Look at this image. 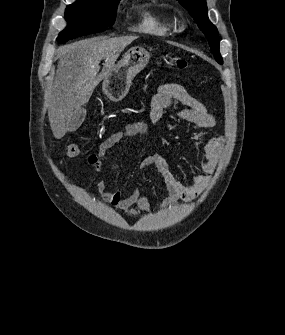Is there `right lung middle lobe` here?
I'll list each match as a JSON object with an SVG mask.
<instances>
[{"mask_svg":"<svg viewBox=\"0 0 285 335\" xmlns=\"http://www.w3.org/2000/svg\"><path fill=\"white\" fill-rule=\"evenodd\" d=\"M118 3H104L96 0H78L68 5L65 17L68 27L58 37L60 43L92 33L105 31L112 26Z\"/></svg>","mask_w":285,"mask_h":335,"instance_id":"right-lung-middle-lobe-1","label":"right lung middle lobe"}]
</instances>
